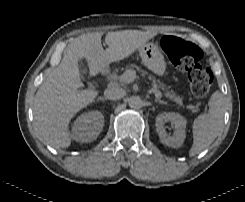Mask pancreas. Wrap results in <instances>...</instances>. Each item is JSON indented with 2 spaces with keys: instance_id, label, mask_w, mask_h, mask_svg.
<instances>
[{
  "instance_id": "cf45deb5",
  "label": "pancreas",
  "mask_w": 245,
  "mask_h": 202,
  "mask_svg": "<svg viewBox=\"0 0 245 202\" xmlns=\"http://www.w3.org/2000/svg\"><path fill=\"white\" fill-rule=\"evenodd\" d=\"M129 70V69H128ZM142 72V71H141ZM145 74V73H144ZM149 79L153 81V85L154 88H156L158 86L159 81H157L154 77L149 76ZM159 87L165 91V96L171 100H173L174 102H176L179 105H182V98H180L179 96H177L173 91H169L167 89L164 88V86L162 84H159Z\"/></svg>"
}]
</instances>
